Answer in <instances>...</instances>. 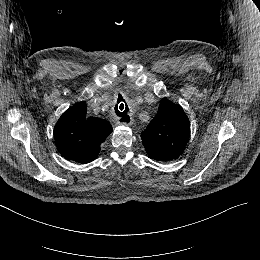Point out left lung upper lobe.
<instances>
[{"instance_id": "1", "label": "left lung upper lobe", "mask_w": 260, "mask_h": 260, "mask_svg": "<svg viewBox=\"0 0 260 260\" xmlns=\"http://www.w3.org/2000/svg\"><path fill=\"white\" fill-rule=\"evenodd\" d=\"M189 133L190 124L184 110L163 98L157 115L142 132L141 139L151 159L170 162L183 154Z\"/></svg>"}]
</instances>
